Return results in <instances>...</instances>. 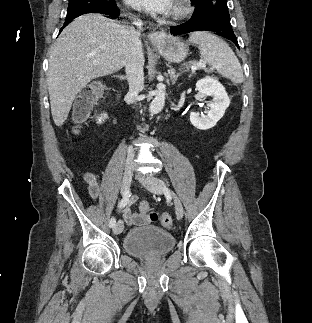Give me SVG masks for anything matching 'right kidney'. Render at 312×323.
I'll return each instance as SVG.
<instances>
[{
    "mask_svg": "<svg viewBox=\"0 0 312 323\" xmlns=\"http://www.w3.org/2000/svg\"><path fill=\"white\" fill-rule=\"evenodd\" d=\"M96 118H97V124H103V122H105L108 116L107 114H99V116H96Z\"/></svg>",
    "mask_w": 312,
    "mask_h": 323,
    "instance_id": "ca27d5eb",
    "label": "right kidney"
}]
</instances>
